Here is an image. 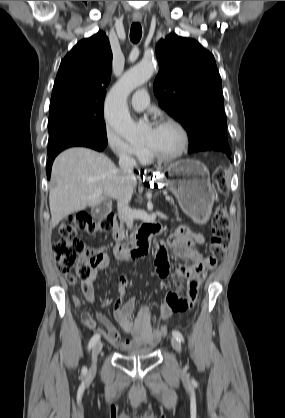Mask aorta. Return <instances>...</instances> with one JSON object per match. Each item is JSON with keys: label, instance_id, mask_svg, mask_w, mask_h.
I'll return each instance as SVG.
<instances>
[{"label": "aorta", "instance_id": "762f6f07", "mask_svg": "<svg viewBox=\"0 0 285 418\" xmlns=\"http://www.w3.org/2000/svg\"><path fill=\"white\" fill-rule=\"evenodd\" d=\"M155 69V60L145 58L127 70L108 94L105 109L107 123L128 142L140 140L144 128L132 120L126 105L127 97L137 87L145 84Z\"/></svg>", "mask_w": 285, "mask_h": 418}]
</instances>
